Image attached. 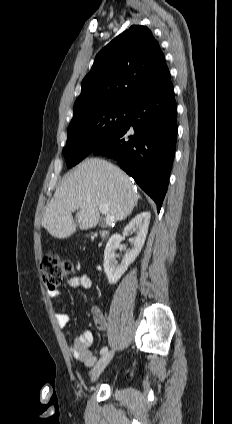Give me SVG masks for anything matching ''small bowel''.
<instances>
[{
	"label": "small bowel",
	"mask_w": 232,
	"mask_h": 424,
	"mask_svg": "<svg viewBox=\"0 0 232 424\" xmlns=\"http://www.w3.org/2000/svg\"><path fill=\"white\" fill-rule=\"evenodd\" d=\"M67 285L70 288H85L92 289L94 284L87 273H79L67 280ZM48 294L52 298H59L61 292L58 288L48 289ZM94 323L101 331H106L108 322L103 316L98 307L94 306L91 309ZM56 321L59 326L65 327L70 322V315L66 312L59 311L55 314ZM93 341V335L90 330H82L76 333L73 345L70 348L71 355L81 364L91 366L95 362V357L89 350V346Z\"/></svg>",
	"instance_id": "obj_1"
}]
</instances>
